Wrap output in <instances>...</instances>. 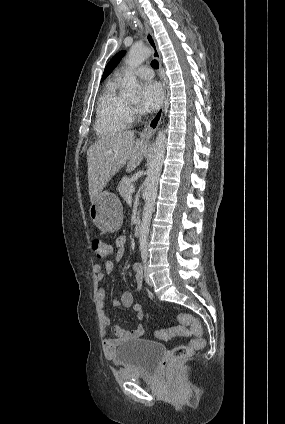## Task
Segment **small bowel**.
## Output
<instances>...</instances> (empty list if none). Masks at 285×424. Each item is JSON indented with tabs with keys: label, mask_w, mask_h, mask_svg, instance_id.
I'll return each instance as SVG.
<instances>
[{
	"label": "small bowel",
	"mask_w": 285,
	"mask_h": 424,
	"mask_svg": "<svg viewBox=\"0 0 285 424\" xmlns=\"http://www.w3.org/2000/svg\"><path fill=\"white\" fill-rule=\"evenodd\" d=\"M115 246H116V255L114 259L108 260L105 262L104 266L101 265H95L94 271L97 276L98 283L101 284L104 276L106 274H111L116 266L121 262L126 248V237L125 236H119L115 240ZM133 269L136 271V277H135V287L134 290L138 292L141 287L142 283V275H141V266L140 264L136 263L133 265ZM97 298L99 305L102 309V321L104 326H110L111 319L104 310L105 306L107 305V295L106 291L103 286L99 285L98 291H97ZM112 305L114 307L123 306L125 308H133V310L136 313V316L139 320H142L144 318V305L143 304H134V297L133 294L129 291H124L120 298H114L112 299ZM144 334V327L142 324H138L133 330L127 331L123 327L116 325L113 328V337L112 338H105L103 341V351L110 355L114 352V350L123 344L124 342L132 339H138ZM190 333L187 332L188 336Z\"/></svg>",
	"instance_id": "obj_1"
}]
</instances>
